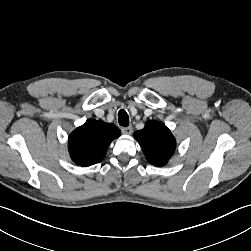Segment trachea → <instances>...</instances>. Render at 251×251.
I'll return each mask as SVG.
<instances>
[{
    "label": "trachea",
    "mask_w": 251,
    "mask_h": 251,
    "mask_svg": "<svg viewBox=\"0 0 251 251\" xmlns=\"http://www.w3.org/2000/svg\"><path fill=\"white\" fill-rule=\"evenodd\" d=\"M118 122L123 127H127L129 125V116L123 109L118 112Z\"/></svg>",
    "instance_id": "3493384b"
}]
</instances>
